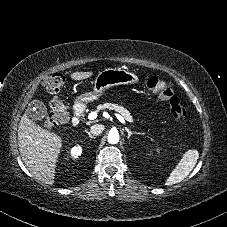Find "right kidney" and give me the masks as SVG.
Instances as JSON below:
<instances>
[{"instance_id":"obj_1","label":"right kidney","mask_w":227,"mask_h":227,"mask_svg":"<svg viewBox=\"0 0 227 227\" xmlns=\"http://www.w3.org/2000/svg\"><path fill=\"white\" fill-rule=\"evenodd\" d=\"M82 153V148L80 146H75L71 149L70 154L73 158H78Z\"/></svg>"}]
</instances>
